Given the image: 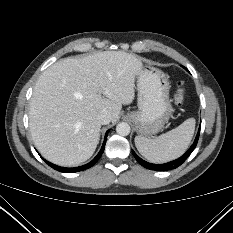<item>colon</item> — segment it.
Here are the masks:
<instances>
[{
    "instance_id": "5ec220e1",
    "label": "colon",
    "mask_w": 233,
    "mask_h": 233,
    "mask_svg": "<svg viewBox=\"0 0 233 233\" xmlns=\"http://www.w3.org/2000/svg\"><path fill=\"white\" fill-rule=\"evenodd\" d=\"M186 95H187V92H186L185 87L182 84H180L173 97L174 104L176 106H181L186 99Z\"/></svg>"
}]
</instances>
